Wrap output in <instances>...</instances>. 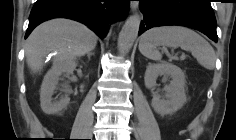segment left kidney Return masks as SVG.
<instances>
[{"label": "left kidney", "instance_id": "1", "mask_svg": "<svg viewBox=\"0 0 236 140\" xmlns=\"http://www.w3.org/2000/svg\"><path fill=\"white\" fill-rule=\"evenodd\" d=\"M159 75L170 76L172 80L163 89L166 92V99H161L158 92H155L151 106L161 115L172 114L186 103L185 75L179 67L172 63H149L144 76L145 86L148 89H155L156 80Z\"/></svg>", "mask_w": 236, "mask_h": 140}]
</instances>
